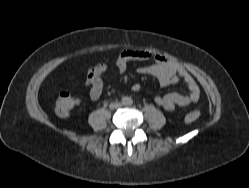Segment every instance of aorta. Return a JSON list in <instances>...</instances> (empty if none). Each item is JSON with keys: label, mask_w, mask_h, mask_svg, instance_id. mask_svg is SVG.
<instances>
[{"label": "aorta", "mask_w": 249, "mask_h": 188, "mask_svg": "<svg viewBox=\"0 0 249 188\" xmlns=\"http://www.w3.org/2000/svg\"><path fill=\"white\" fill-rule=\"evenodd\" d=\"M122 102H123V104H129L130 103V98H128V97H123V99H122Z\"/></svg>", "instance_id": "aorta-1"}]
</instances>
